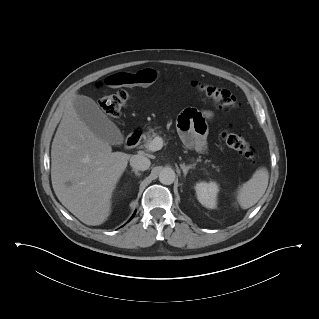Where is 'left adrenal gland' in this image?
Segmentation results:
<instances>
[{
    "label": "left adrenal gland",
    "mask_w": 319,
    "mask_h": 319,
    "mask_svg": "<svg viewBox=\"0 0 319 319\" xmlns=\"http://www.w3.org/2000/svg\"><path fill=\"white\" fill-rule=\"evenodd\" d=\"M195 165H196L195 163H194V164L187 165V166H186L184 163H183V164H180V167H181V169H182V171H183L184 177L187 175L189 169L194 168Z\"/></svg>",
    "instance_id": "left-adrenal-gland-1"
}]
</instances>
